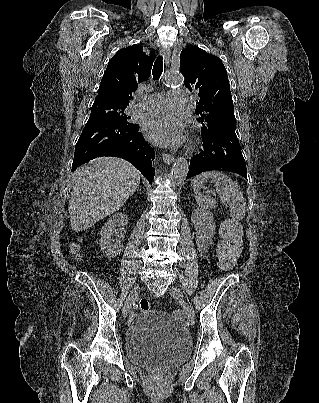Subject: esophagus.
<instances>
[{
  "label": "esophagus",
  "mask_w": 319,
  "mask_h": 403,
  "mask_svg": "<svg viewBox=\"0 0 319 403\" xmlns=\"http://www.w3.org/2000/svg\"><path fill=\"white\" fill-rule=\"evenodd\" d=\"M160 54L164 57L165 65L167 66L169 63L171 51L169 48H162L160 50ZM163 160L167 164H171L174 162V156L170 154H163Z\"/></svg>",
  "instance_id": "obj_1"
}]
</instances>
